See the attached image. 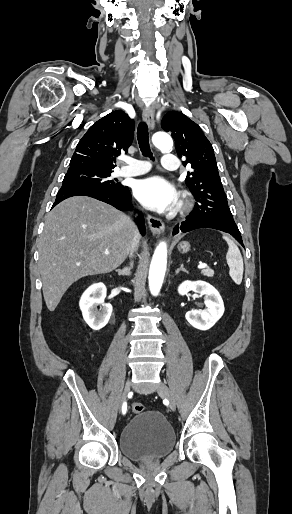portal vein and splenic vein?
I'll return each instance as SVG.
<instances>
[{
  "label": "portal vein and splenic vein",
  "instance_id": "1",
  "mask_svg": "<svg viewBox=\"0 0 292 514\" xmlns=\"http://www.w3.org/2000/svg\"><path fill=\"white\" fill-rule=\"evenodd\" d=\"M105 254H110V252H108V250H106ZM198 268H207V264H200V266H198Z\"/></svg>",
  "mask_w": 292,
  "mask_h": 514
}]
</instances>
